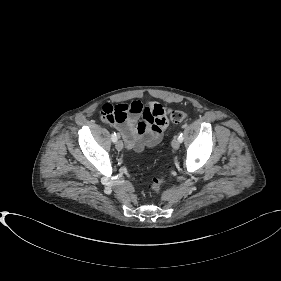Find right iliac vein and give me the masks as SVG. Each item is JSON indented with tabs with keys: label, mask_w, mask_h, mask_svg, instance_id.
Returning a JSON list of instances; mask_svg holds the SVG:
<instances>
[{
	"label": "right iliac vein",
	"mask_w": 281,
	"mask_h": 281,
	"mask_svg": "<svg viewBox=\"0 0 281 281\" xmlns=\"http://www.w3.org/2000/svg\"><path fill=\"white\" fill-rule=\"evenodd\" d=\"M115 147L118 151H121L123 149V142L121 140H117L115 143Z\"/></svg>",
	"instance_id": "obj_1"
}]
</instances>
